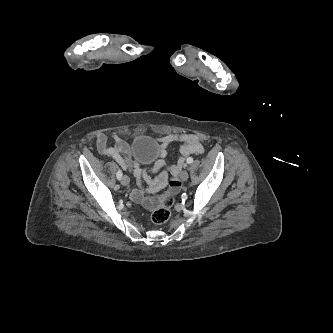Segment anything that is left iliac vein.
Instances as JSON below:
<instances>
[{
    "instance_id": "obj_1",
    "label": "left iliac vein",
    "mask_w": 333,
    "mask_h": 333,
    "mask_svg": "<svg viewBox=\"0 0 333 333\" xmlns=\"http://www.w3.org/2000/svg\"><path fill=\"white\" fill-rule=\"evenodd\" d=\"M188 177H189V174H188V172H187L186 170H184V171H182V172L180 173V179H181L182 181H186V180L188 179Z\"/></svg>"
}]
</instances>
